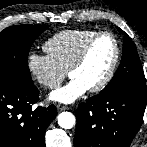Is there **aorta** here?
Returning a JSON list of instances; mask_svg holds the SVG:
<instances>
[{"instance_id": "1", "label": "aorta", "mask_w": 147, "mask_h": 147, "mask_svg": "<svg viewBox=\"0 0 147 147\" xmlns=\"http://www.w3.org/2000/svg\"><path fill=\"white\" fill-rule=\"evenodd\" d=\"M58 124L64 129H71L76 122L75 116L71 112H62L57 117Z\"/></svg>"}]
</instances>
